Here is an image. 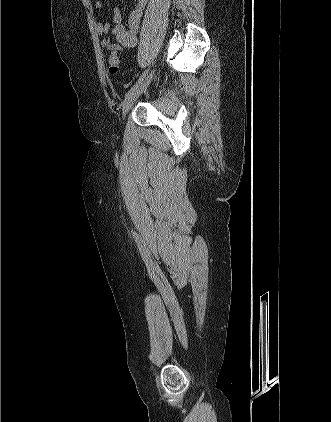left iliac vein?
Instances as JSON below:
<instances>
[{
	"label": "left iliac vein",
	"instance_id": "obj_1",
	"mask_svg": "<svg viewBox=\"0 0 331 422\" xmlns=\"http://www.w3.org/2000/svg\"><path fill=\"white\" fill-rule=\"evenodd\" d=\"M155 71H151L148 73L143 81L139 84L137 88H135L124 100L123 102V108H122V119L124 120L126 118L127 113L135 103V101L138 99V97L147 89L150 82L153 79Z\"/></svg>",
	"mask_w": 331,
	"mask_h": 422
}]
</instances>
